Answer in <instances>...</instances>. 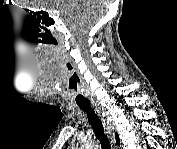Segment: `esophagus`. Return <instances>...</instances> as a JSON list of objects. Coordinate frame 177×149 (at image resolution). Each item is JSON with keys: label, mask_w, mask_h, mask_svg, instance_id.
I'll return each instance as SVG.
<instances>
[{"label": "esophagus", "mask_w": 177, "mask_h": 149, "mask_svg": "<svg viewBox=\"0 0 177 149\" xmlns=\"http://www.w3.org/2000/svg\"><path fill=\"white\" fill-rule=\"evenodd\" d=\"M91 104L95 111L98 113V115L101 117V121L103 123L107 137L109 138L111 144L114 145V122L107 116V113L104 111L100 103L92 101Z\"/></svg>", "instance_id": "34e87169"}]
</instances>
